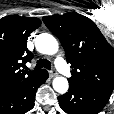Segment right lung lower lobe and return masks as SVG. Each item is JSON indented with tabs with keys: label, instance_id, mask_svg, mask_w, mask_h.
Here are the masks:
<instances>
[{
	"label": "right lung lower lobe",
	"instance_id": "98d812e1",
	"mask_svg": "<svg viewBox=\"0 0 114 114\" xmlns=\"http://www.w3.org/2000/svg\"><path fill=\"white\" fill-rule=\"evenodd\" d=\"M48 78L46 70L0 93V114H24L34 107L35 93Z\"/></svg>",
	"mask_w": 114,
	"mask_h": 114
}]
</instances>
